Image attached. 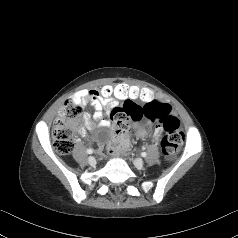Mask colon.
<instances>
[{
	"label": "colon",
	"instance_id": "1",
	"mask_svg": "<svg viewBox=\"0 0 238 238\" xmlns=\"http://www.w3.org/2000/svg\"><path fill=\"white\" fill-rule=\"evenodd\" d=\"M99 97L108 101L120 100L123 106L111 110L113 136L108 151L116 154L126 148L128 120L148 119L160 121L162 125L161 149L164 157L170 159L184 142V133L179 119L171 113L170 106L156 101L155 93L147 87L118 83H103L98 88ZM138 105H144L143 107ZM83 106L67 100L63 105L52 129L54 149L62 155L71 152L74 143L73 132L80 126Z\"/></svg>",
	"mask_w": 238,
	"mask_h": 238
}]
</instances>
